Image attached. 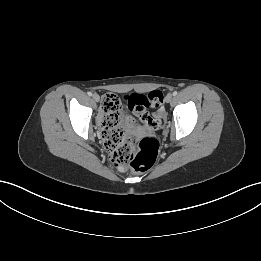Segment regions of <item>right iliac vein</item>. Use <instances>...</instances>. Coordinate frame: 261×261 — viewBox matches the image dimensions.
Masks as SVG:
<instances>
[{"label": "right iliac vein", "mask_w": 261, "mask_h": 261, "mask_svg": "<svg viewBox=\"0 0 261 261\" xmlns=\"http://www.w3.org/2000/svg\"><path fill=\"white\" fill-rule=\"evenodd\" d=\"M93 100L96 101V102H99V101H100V96L95 93V94L93 95Z\"/></svg>", "instance_id": "right-iliac-vein-1"}]
</instances>
